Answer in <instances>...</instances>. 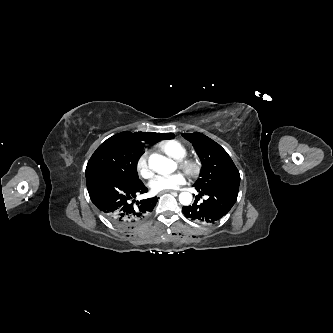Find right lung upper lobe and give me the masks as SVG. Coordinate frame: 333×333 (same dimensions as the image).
I'll use <instances>...</instances> for the list:
<instances>
[{"label":"right lung upper lobe","instance_id":"cb5924a9","mask_svg":"<svg viewBox=\"0 0 333 333\" xmlns=\"http://www.w3.org/2000/svg\"><path fill=\"white\" fill-rule=\"evenodd\" d=\"M120 135L125 139L130 147V152L134 156H141L143 154L142 149L145 143L154 144L162 138L157 137V133L151 132H122ZM170 139V138H166Z\"/></svg>","mask_w":333,"mask_h":333}]
</instances>
